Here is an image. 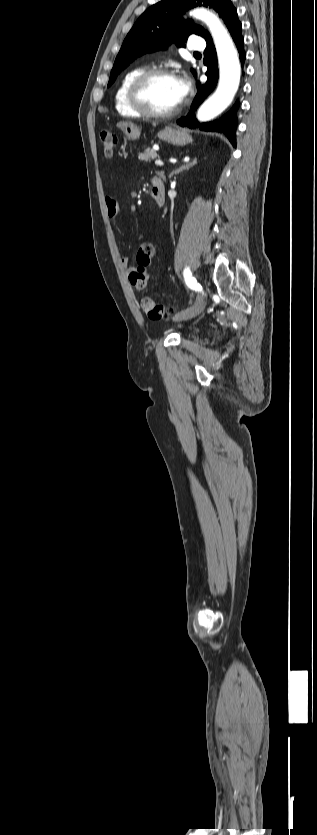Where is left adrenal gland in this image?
I'll list each match as a JSON object with an SVG mask.
<instances>
[{
  "mask_svg": "<svg viewBox=\"0 0 317 835\" xmlns=\"http://www.w3.org/2000/svg\"><path fill=\"white\" fill-rule=\"evenodd\" d=\"M196 164H197V159L195 158L194 160H192V162H188L186 165L180 166V167H179V168H177L176 170H173V171L170 173L169 178H171L172 176H174V174H175V175H176V174H179V173H180V172H182L183 170H189V168H191V167L195 166Z\"/></svg>",
  "mask_w": 317,
  "mask_h": 835,
  "instance_id": "1",
  "label": "left adrenal gland"
}]
</instances>
